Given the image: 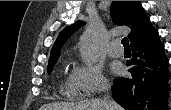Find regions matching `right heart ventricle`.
<instances>
[{
  "instance_id": "right-heart-ventricle-1",
  "label": "right heart ventricle",
  "mask_w": 171,
  "mask_h": 110,
  "mask_svg": "<svg viewBox=\"0 0 171 110\" xmlns=\"http://www.w3.org/2000/svg\"><path fill=\"white\" fill-rule=\"evenodd\" d=\"M60 91L64 96L70 98H78L82 95V91L72 74L67 76L61 83Z\"/></svg>"
}]
</instances>
